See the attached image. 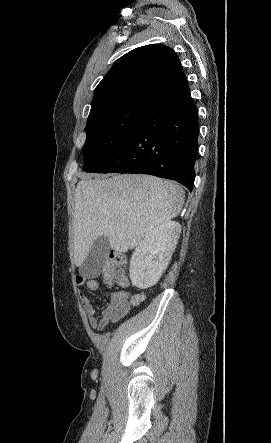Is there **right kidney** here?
I'll return each instance as SVG.
<instances>
[{
    "instance_id": "obj_1",
    "label": "right kidney",
    "mask_w": 271,
    "mask_h": 443,
    "mask_svg": "<svg viewBox=\"0 0 271 443\" xmlns=\"http://www.w3.org/2000/svg\"><path fill=\"white\" fill-rule=\"evenodd\" d=\"M180 233L179 222L166 220L143 237L130 259L133 285L146 289L157 283L171 259Z\"/></svg>"
}]
</instances>
